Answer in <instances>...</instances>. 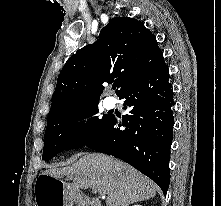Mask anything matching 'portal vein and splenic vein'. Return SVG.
Instances as JSON below:
<instances>
[{"label":"portal vein and splenic vein","instance_id":"18ae733b","mask_svg":"<svg viewBox=\"0 0 221 206\" xmlns=\"http://www.w3.org/2000/svg\"><path fill=\"white\" fill-rule=\"evenodd\" d=\"M93 191H94V193H99V194H101V195H105V193L104 192H102L101 190H99V189H95V188H93ZM102 197H104V196H102Z\"/></svg>","mask_w":221,"mask_h":206}]
</instances>
